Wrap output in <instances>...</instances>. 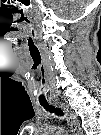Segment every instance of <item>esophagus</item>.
Returning <instances> with one entry per match:
<instances>
[{
  "instance_id": "34e87169",
  "label": "esophagus",
  "mask_w": 101,
  "mask_h": 135,
  "mask_svg": "<svg viewBox=\"0 0 101 135\" xmlns=\"http://www.w3.org/2000/svg\"><path fill=\"white\" fill-rule=\"evenodd\" d=\"M60 107L65 112L66 120L72 132H76V134H80L81 127L78 119L74 115V113L63 103L59 104Z\"/></svg>"
}]
</instances>
